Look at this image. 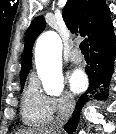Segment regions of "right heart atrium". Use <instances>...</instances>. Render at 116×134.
Returning a JSON list of instances; mask_svg holds the SVG:
<instances>
[{
    "instance_id": "d8ad5b80",
    "label": "right heart atrium",
    "mask_w": 116,
    "mask_h": 134,
    "mask_svg": "<svg viewBox=\"0 0 116 134\" xmlns=\"http://www.w3.org/2000/svg\"><path fill=\"white\" fill-rule=\"evenodd\" d=\"M49 106L52 115L68 114L73 110L75 100L70 94H62L57 97H50Z\"/></svg>"
}]
</instances>
